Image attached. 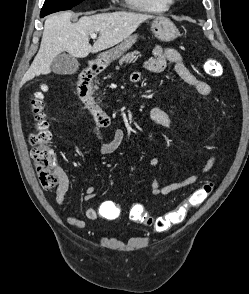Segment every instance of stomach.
<instances>
[{"mask_svg": "<svg viewBox=\"0 0 249 294\" xmlns=\"http://www.w3.org/2000/svg\"><path fill=\"white\" fill-rule=\"evenodd\" d=\"M151 30L155 37L163 42H169L179 36V31L174 23L163 16L156 17L151 23ZM136 41V36H129L114 48L101 54L100 60L103 65H109L112 61L121 57L129 50Z\"/></svg>", "mask_w": 249, "mask_h": 294, "instance_id": "0dacf381", "label": "stomach"}]
</instances>
